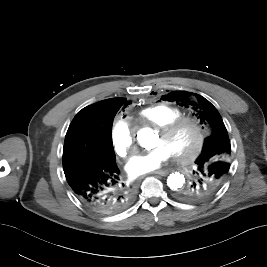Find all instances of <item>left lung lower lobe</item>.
<instances>
[{
  "label": "left lung lower lobe",
  "instance_id": "1",
  "mask_svg": "<svg viewBox=\"0 0 267 267\" xmlns=\"http://www.w3.org/2000/svg\"><path fill=\"white\" fill-rule=\"evenodd\" d=\"M227 179V169L219 163L196 169L190 181L178 189L176 199L183 204L209 201L224 190Z\"/></svg>",
  "mask_w": 267,
  "mask_h": 267
}]
</instances>
